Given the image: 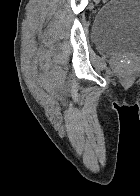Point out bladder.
Wrapping results in <instances>:
<instances>
[{
  "label": "bladder",
  "mask_w": 140,
  "mask_h": 196,
  "mask_svg": "<svg viewBox=\"0 0 140 196\" xmlns=\"http://www.w3.org/2000/svg\"><path fill=\"white\" fill-rule=\"evenodd\" d=\"M92 33L98 50L140 55V0H109L96 13Z\"/></svg>",
  "instance_id": "1"
}]
</instances>
